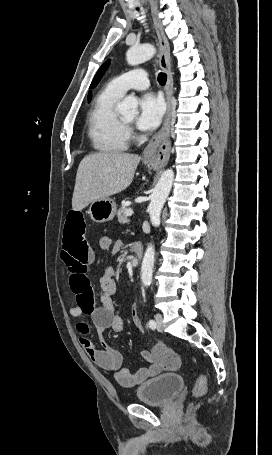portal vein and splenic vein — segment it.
I'll return each instance as SVG.
<instances>
[{"mask_svg":"<svg viewBox=\"0 0 272 455\" xmlns=\"http://www.w3.org/2000/svg\"><path fill=\"white\" fill-rule=\"evenodd\" d=\"M126 214H127V216H131L133 214V210L132 209H128Z\"/></svg>","mask_w":272,"mask_h":455,"instance_id":"obj_1","label":"portal vein and splenic vein"}]
</instances>
